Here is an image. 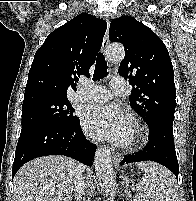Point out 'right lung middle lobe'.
Returning <instances> with one entry per match:
<instances>
[{"mask_svg": "<svg viewBox=\"0 0 196 201\" xmlns=\"http://www.w3.org/2000/svg\"><path fill=\"white\" fill-rule=\"evenodd\" d=\"M67 97L38 95L26 98L22 105V125L32 122L70 127L79 121Z\"/></svg>", "mask_w": 196, "mask_h": 201, "instance_id": "1", "label": "right lung middle lobe"}]
</instances>
